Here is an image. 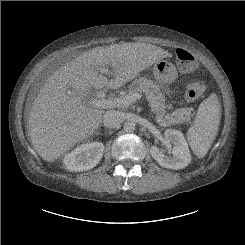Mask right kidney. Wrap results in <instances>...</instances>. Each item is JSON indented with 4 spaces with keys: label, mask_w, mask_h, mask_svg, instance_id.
Returning <instances> with one entry per match:
<instances>
[{
    "label": "right kidney",
    "mask_w": 245,
    "mask_h": 245,
    "mask_svg": "<svg viewBox=\"0 0 245 245\" xmlns=\"http://www.w3.org/2000/svg\"><path fill=\"white\" fill-rule=\"evenodd\" d=\"M104 145L100 142L86 143L66 154L63 163L69 171H86L94 168L101 160Z\"/></svg>",
    "instance_id": "right-kidney-1"
}]
</instances>
